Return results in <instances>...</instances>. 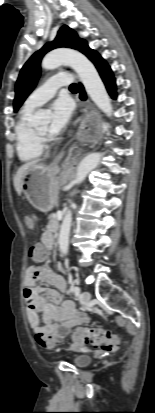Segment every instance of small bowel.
I'll list each match as a JSON object with an SVG mask.
<instances>
[{
    "label": "small bowel",
    "mask_w": 155,
    "mask_h": 413,
    "mask_svg": "<svg viewBox=\"0 0 155 413\" xmlns=\"http://www.w3.org/2000/svg\"><path fill=\"white\" fill-rule=\"evenodd\" d=\"M26 227H35V218H26ZM54 244L52 231L42 236V245L50 249ZM43 281L53 288L36 286ZM24 298L29 325L36 334V340L47 338L54 342L63 340L75 326L86 323L88 317L77 311L71 300L63 298L66 289L65 279L53 273L46 266H30L24 279ZM39 313L42 314V320Z\"/></svg>",
    "instance_id": "obj_1"
}]
</instances>
